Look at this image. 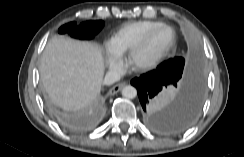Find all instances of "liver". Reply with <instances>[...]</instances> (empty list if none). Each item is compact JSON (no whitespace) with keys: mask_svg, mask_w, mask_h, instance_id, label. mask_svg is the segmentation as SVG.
<instances>
[{"mask_svg":"<svg viewBox=\"0 0 244 157\" xmlns=\"http://www.w3.org/2000/svg\"><path fill=\"white\" fill-rule=\"evenodd\" d=\"M105 65L92 42L54 37L40 60V79L54 104L67 111L90 105L100 94Z\"/></svg>","mask_w":244,"mask_h":157,"instance_id":"obj_1","label":"liver"}]
</instances>
